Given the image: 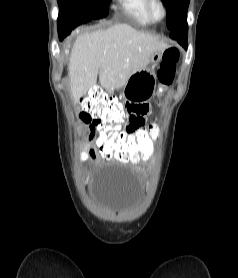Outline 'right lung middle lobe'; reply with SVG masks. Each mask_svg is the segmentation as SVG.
<instances>
[{"label":"right lung middle lobe","instance_id":"right-lung-middle-lobe-1","mask_svg":"<svg viewBox=\"0 0 238 278\" xmlns=\"http://www.w3.org/2000/svg\"><path fill=\"white\" fill-rule=\"evenodd\" d=\"M111 0H58L60 9L74 7L79 9L85 17L84 22L99 19L108 15Z\"/></svg>","mask_w":238,"mask_h":278}]
</instances>
